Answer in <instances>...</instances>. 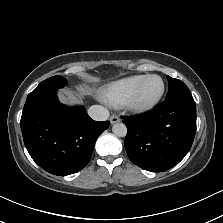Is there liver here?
Wrapping results in <instances>:
<instances>
[{
    "label": "liver",
    "mask_w": 223,
    "mask_h": 223,
    "mask_svg": "<svg viewBox=\"0 0 223 223\" xmlns=\"http://www.w3.org/2000/svg\"><path fill=\"white\" fill-rule=\"evenodd\" d=\"M67 93L71 95L69 91ZM56 96L58 100L63 104H72L73 106L78 105V102L75 99L69 98L63 91L58 90L56 92Z\"/></svg>",
    "instance_id": "liver-1"
}]
</instances>
